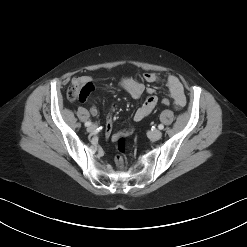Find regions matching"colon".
<instances>
[{"label": "colon", "mask_w": 247, "mask_h": 247, "mask_svg": "<svg viewBox=\"0 0 247 247\" xmlns=\"http://www.w3.org/2000/svg\"><path fill=\"white\" fill-rule=\"evenodd\" d=\"M91 90H92V87L88 85L79 87V86L72 84L68 89L67 95H68V98L71 100L84 101L89 95V93L91 92ZM161 104L165 107H170L173 103L171 100L164 98L161 100ZM117 146H118V150L120 153L122 154L125 153L126 147H127V141L124 135H121L120 137H118ZM121 160L122 158L120 157L119 161Z\"/></svg>", "instance_id": "colon-1"}]
</instances>
